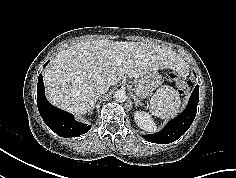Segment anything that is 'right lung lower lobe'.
<instances>
[{
	"instance_id": "98d812e1",
	"label": "right lung lower lobe",
	"mask_w": 236,
	"mask_h": 178,
	"mask_svg": "<svg viewBox=\"0 0 236 178\" xmlns=\"http://www.w3.org/2000/svg\"><path fill=\"white\" fill-rule=\"evenodd\" d=\"M37 105L45 124L61 137H77L91 128V126L75 121L70 113L52 106L47 101L42 74L39 75L37 84Z\"/></svg>"
}]
</instances>
